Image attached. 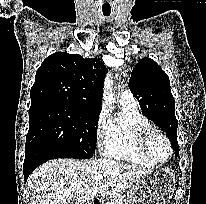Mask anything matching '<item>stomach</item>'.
Segmentation results:
<instances>
[{"label":"stomach","instance_id":"1","mask_svg":"<svg viewBox=\"0 0 206 204\" xmlns=\"http://www.w3.org/2000/svg\"><path fill=\"white\" fill-rule=\"evenodd\" d=\"M176 181L168 170L149 171L123 197V204H170Z\"/></svg>","mask_w":206,"mask_h":204}]
</instances>
